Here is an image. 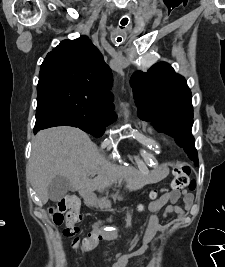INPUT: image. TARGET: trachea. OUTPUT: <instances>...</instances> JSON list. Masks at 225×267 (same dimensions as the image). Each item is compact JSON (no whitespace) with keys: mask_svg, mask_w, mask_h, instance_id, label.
<instances>
[{"mask_svg":"<svg viewBox=\"0 0 225 267\" xmlns=\"http://www.w3.org/2000/svg\"><path fill=\"white\" fill-rule=\"evenodd\" d=\"M120 24H121L122 27L125 26V25H127V24H128V18H126V17L123 18V19L121 20Z\"/></svg>","mask_w":225,"mask_h":267,"instance_id":"trachea-1","label":"trachea"}]
</instances>
